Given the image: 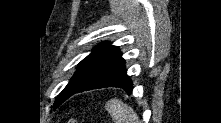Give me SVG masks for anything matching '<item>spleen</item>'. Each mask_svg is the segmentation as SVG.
I'll use <instances>...</instances> for the list:
<instances>
[{
	"label": "spleen",
	"instance_id": "1",
	"mask_svg": "<svg viewBox=\"0 0 221 123\" xmlns=\"http://www.w3.org/2000/svg\"><path fill=\"white\" fill-rule=\"evenodd\" d=\"M107 111L115 123H139L138 115L126 103L112 99L106 104Z\"/></svg>",
	"mask_w": 221,
	"mask_h": 123
}]
</instances>
